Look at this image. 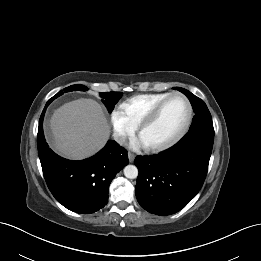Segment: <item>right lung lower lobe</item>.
Here are the masks:
<instances>
[{
  "label": "right lung lower lobe",
  "mask_w": 261,
  "mask_h": 261,
  "mask_svg": "<svg viewBox=\"0 0 261 261\" xmlns=\"http://www.w3.org/2000/svg\"><path fill=\"white\" fill-rule=\"evenodd\" d=\"M37 135L38 154L43 175L55 199L77 213H93L108 202V189L116 174L128 164L127 151L113 140L96 155L81 161H70L55 154L47 145L43 133V118Z\"/></svg>",
  "instance_id": "98d812e1"
}]
</instances>
